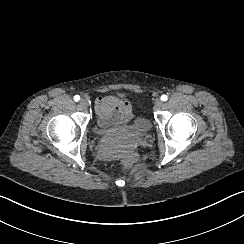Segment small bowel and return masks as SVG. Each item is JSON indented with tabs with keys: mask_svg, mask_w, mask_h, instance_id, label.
I'll return each mask as SVG.
<instances>
[{
	"mask_svg": "<svg viewBox=\"0 0 244 244\" xmlns=\"http://www.w3.org/2000/svg\"><path fill=\"white\" fill-rule=\"evenodd\" d=\"M99 121L105 127L126 124L132 119L130 104L115 96L100 97L95 102Z\"/></svg>",
	"mask_w": 244,
	"mask_h": 244,
	"instance_id": "obj_1",
	"label": "small bowel"
}]
</instances>
